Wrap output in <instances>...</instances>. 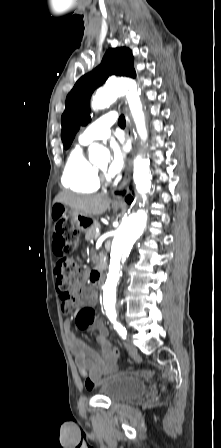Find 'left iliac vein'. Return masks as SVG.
Wrapping results in <instances>:
<instances>
[{"label":"left iliac vein","mask_w":221,"mask_h":448,"mask_svg":"<svg viewBox=\"0 0 221 448\" xmlns=\"http://www.w3.org/2000/svg\"><path fill=\"white\" fill-rule=\"evenodd\" d=\"M125 346H126V348L128 349V351L130 353H136L137 352V349H136V347H135L131 337H128V339L125 342Z\"/></svg>","instance_id":"obj_1"}]
</instances>
